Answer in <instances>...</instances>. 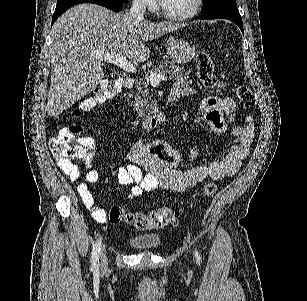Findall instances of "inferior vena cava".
I'll return each mask as SVG.
<instances>
[{
  "mask_svg": "<svg viewBox=\"0 0 307 301\" xmlns=\"http://www.w3.org/2000/svg\"><path fill=\"white\" fill-rule=\"evenodd\" d=\"M144 12H146L145 2H143V0H133L128 12L129 16H133L136 22H138V20H143Z\"/></svg>",
  "mask_w": 307,
  "mask_h": 301,
  "instance_id": "1",
  "label": "inferior vena cava"
}]
</instances>
